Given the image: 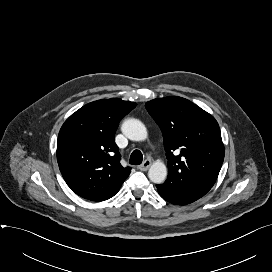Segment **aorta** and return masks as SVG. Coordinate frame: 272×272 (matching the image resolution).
Instances as JSON below:
<instances>
[{
  "instance_id": "762f6f07",
  "label": "aorta",
  "mask_w": 272,
  "mask_h": 272,
  "mask_svg": "<svg viewBox=\"0 0 272 272\" xmlns=\"http://www.w3.org/2000/svg\"><path fill=\"white\" fill-rule=\"evenodd\" d=\"M123 134L133 141H143L147 138L148 133L145 125L138 119L130 118L122 124ZM149 179L156 184H160L165 181L167 177V168L163 162H154L149 171Z\"/></svg>"
}]
</instances>
